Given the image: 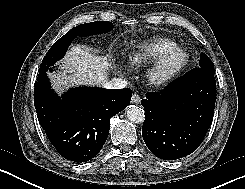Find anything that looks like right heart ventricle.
<instances>
[{
  "mask_svg": "<svg viewBox=\"0 0 245 189\" xmlns=\"http://www.w3.org/2000/svg\"><path fill=\"white\" fill-rule=\"evenodd\" d=\"M176 45L173 40L165 37L144 40L131 56V64L139 66L146 62L155 61L165 51Z\"/></svg>",
  "mask_w": 245,
  "mask_h": 189,
  "instance_id": "right-heart-ventricle-1",
  "label": "right heart ventricle"
}]
</instances>
